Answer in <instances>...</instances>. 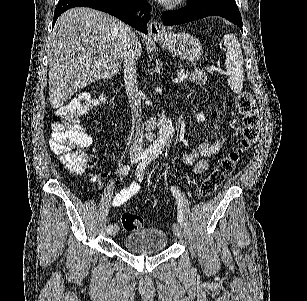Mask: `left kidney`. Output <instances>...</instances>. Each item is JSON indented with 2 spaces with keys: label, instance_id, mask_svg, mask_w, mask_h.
I'll list each match as a JSON object with an SVG mask.
<instances>
[{
  "label": "left kidney",
  "instance_id": "left-kidney-1",
  "mask_svg": "<svg viewBox=\"0 0 307 301\" xmlns=\"http://www.w3.org/2000/svg\"><path fill=\"white\" fill-rule=\"evenodd\" d=\"M195 116H196L198 122H200V120H201V122H203V120H205V116H204L203 112H199V114H195Z\"/></svg>",
  "mask_w": 307,
  "mask_h": 301
}]
</instances>
